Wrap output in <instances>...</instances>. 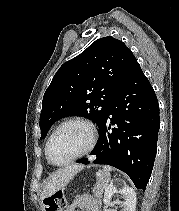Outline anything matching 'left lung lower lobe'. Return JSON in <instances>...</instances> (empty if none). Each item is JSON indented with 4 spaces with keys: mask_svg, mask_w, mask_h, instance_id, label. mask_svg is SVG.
Segmentation results:
<instances>
[{
    "mask_svg": "<svg viewBox=\"0 0 179 211\" xmlns=\"http://www.w3.org/2000/svg\"><path fill=\"white\" fill-rule=\"evenodd\" d=\"M159 127L155 92L134 56L99 129L100 137L91 153L96 155L94 163L125 172L136 188L145 190L156 156ZM77 162L89 164L87 158Z\"/></svg>",
    "mask_w": 179,
    "mask_h": 211,
    "instance_id": "left-lung-lower-lobe-1",
    "label": "left lung lower lobe"
}]
</instances>
